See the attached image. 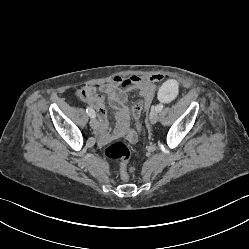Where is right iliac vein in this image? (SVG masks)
<instances>
[{
  "mask_svg": "<svg viewBox=\"0 0 249 249\" xmlns=\"http://www.w3.org/2000/svg\"><path fill=\"white\" fill-rule=\"evenodd\" d=\"M90 126L93 128V129H97L98 128V121L95 119V118H92L90 120Z\"/></svg>",
  "mask_w": 249,
  "mask_h": 249,
  "instance_id": "right-iliac-vein-1",
  "label": "right iliac vein"
}]
</instances>
